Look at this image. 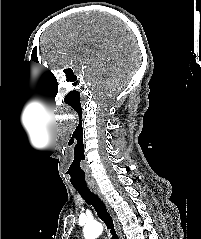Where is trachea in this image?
Here are the masks:
<instances>
[{"instance_id": "obj_1", "label": "trachea", "mask_w": 201, "mask_h": 239, "mask_svg": "<svg viewBox=\"0 0 201 239\" xmlns=\"http://www.w3.org/2000/svg\"><path fill=\"white\" fill-rule=\"evenodd\" d=\"M74 188L78 191L85 202L94 208L98 217L105 223L110 232L111 239H119L114 228L112 217L108 213L104 202L87 186H75Z\"/></svg>"}]
</instances>
